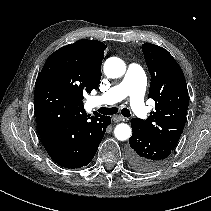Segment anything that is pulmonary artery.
Segmentation results:
<instances>
[{
  "mask_svg": "<svg viewBox=\"0 0 211 211\" xmlns=\"http://www.w3.org/2000/svg\"><path fill=\"white\" fill-rule=\"evenodd\" d=\"M146 88V76L139 64L131 63L120 83L111 87L101 96L91 99L92 106L112 105L124 98L130 99L132 110L140 117L146 115L144 95Z\"/></svg>",
  "mask_w": 211,
  "mask_h": 211,
  "instance_id": "pulmonary-artery-1",
  "label": "pulmonary artery"
}]
</instances>
